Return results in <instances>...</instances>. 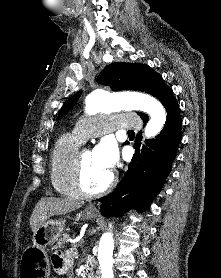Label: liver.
Wrapping results in <instances>:
<instances>
[{
    "label": "liver",
    "mask_w": 221,
    "mask_h": 278,
    "mask_svg": "<svg viewBox=\"0 0 221 278\" xmlns=\"http://www.w3.org/2000/svg\"><path fill=\"white\" fill-rule=\"evenodd\" d=\"M81 206V203L73 199L44 197L37 203L31 214L30 227L34 233L51 216L65 215Z\"/></svg>",
    "instance_id": "1"
}]
</instances>
